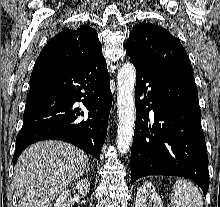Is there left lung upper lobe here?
Instances as JSON below:
<instances>
[{"mask_svg": "<svg viewBox=\"0 0 220 207\" xmlns=\"http://www.w3.org/2000/svg\"><path fill=\"white\" fill-rule=\"evenodd\" d=\"M125 48L134 64L153 72L178 69L193 73L190 60L179 39L159 25L142 22L135 26Z\"/></svg>", "mask_w": 220, "mask_h": 207, "instance_id": "obj_1", "label": "left lung upper lobe"}]
</instances>
